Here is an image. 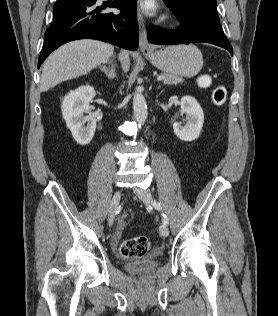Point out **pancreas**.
I'll return each instance as SVG.
<instances>
[{
	"label": "pancreas",
	"instance_id": "1",
	"mask_svg": "<svg viewBox=\"0 0 278 316\" xmlns=\"http://www.w3.org/2000/svg\"><path fill=\"white\" fill-rule=\"evenodd\" d=\"M163 83L165 85H177L183 82V78L178 75L164 74Z\"/></svg>",
	"mask_w": 278,
	"mask_h": 316
}]
</instances>
